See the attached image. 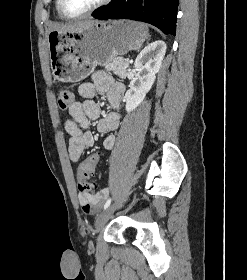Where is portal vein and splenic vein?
Returning <instances> with one entry per match:
<instances>
[{
	"label": "portal vein and splenic vein",
	"instance_id": "portal-vein-and-splenic-vein-1",
	"mask_svg": "<svg viewBox=\"0 0 247 280\" xmlns=\"http://www.w3.org/2000/svg\"><path fill=\"white\" fill-rule=\"evenodd\" d=\"M125 61H126V62H128V61H129V59H125Z\"/></svg>",
	"mask_w": 247,
	"mask_h": 280
}]
</instances>
